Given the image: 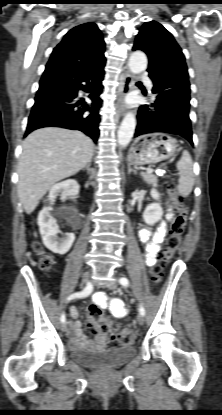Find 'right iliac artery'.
Returning <instances> with one entry per match:
<instances>
[{
    "label": "right iliac artery",
    "instance_id": "1",
    "mask_svg": "<svg viewBox=\"0 0 222 415\" xmlns=\"http://www.w3.org/2000/svg\"><path fill=\"white\" fill-rule=\"evenodd\" d=\"M93 291V286L90 282L87 283L86 287L81 291V292H76L73 293L72 295H70L68 297V301L72 300V299H76V298H84L87 297L88 295L91 294V292ZM60 321L62 323H64L66 321V317L65 314L63 313L60 317Z\"/></svg>",
    "mask_w": 222,
    "mask_h": 415
}]
</instances>
